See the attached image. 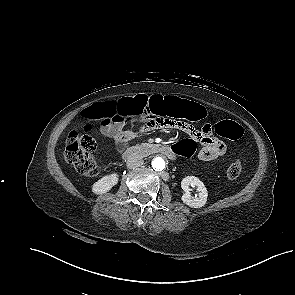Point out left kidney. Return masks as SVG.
Masks as SVG:
<instances>
[{"label": "left kidney", "instance_id": "obj_1", "mask_svg": "<svg viewBox=\"0 0 295 295\" xmlns=\"http://www.w3.org/2000/svg\"><path fill=\"white\" fill-rule=\"evenodd\" d=\"M191 187H197L198 194L192 196L190 191ZM181 188L185 191L182 195V201L192 208H201L207 202L208 191L203 182L195 176H187L181 181Z\"/></svg>", "mask_w": 295, "mask_h": 295}]
</instances>
